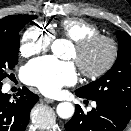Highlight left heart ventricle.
I'll return each mask as SVG.
<instances>
[{
	"label": "left heart ventricle",
	"instance_id": "b2bd125f",
	"mask_svg": "<svg viewBox=\"0 0 131 131\" xmlns=\"http://www.w3.org/2000/svg\"><path fill=\"white\" fill-rule=\"evenodd\" d=\"M109 49L106 44L99 42L91 46L84 53L78 54L76 49H73L71 57L78 59L79 63L86 69L95 70L101 67L107 60Z\"/></svg>",
	"mask_w": 131,
	"mask_h": 131
}]
</instances>
